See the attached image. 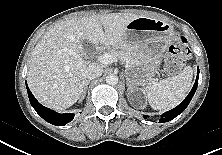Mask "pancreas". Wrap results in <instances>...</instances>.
Instances as JSON below:
<instances>
[{"instance_id":"pancreas-1","label":"pancreas","mask_w":222,"mask_h":155,"mask_svg":"<svg viewBox=\"0 0 222 155\" xmlns=\"http://www.w3.org/2000/svg\"><path fill=\"white\" fill-rule=\"evenodd\" d=\"M119 50L112 49L110 51V54L117 60H123L125 61L128 65L133 62V56L135 52V47L132 45H125L122 44L119 47Z\"/></svg>"}]
</instances>
